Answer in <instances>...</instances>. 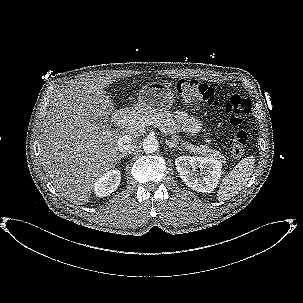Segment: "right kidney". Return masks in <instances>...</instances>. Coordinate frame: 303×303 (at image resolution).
<instances>
[{
  "label": "right kidney",
  "instance_id": "right-kidney-1",
  "mask_svg": "<svg viewBox=\"0 0 303 303\" xmlns=\"http://www.w3.org/2000/svg\"><path fill=\"white\" fill-rule=\"evenodd\" d=\"M121 180L119 170H110L103 174L95 183L94 191L98 197H105L114 192Z\"/></svg>",
  "mask_w": 303,
  "mask_h": 303
}]
</instances>
